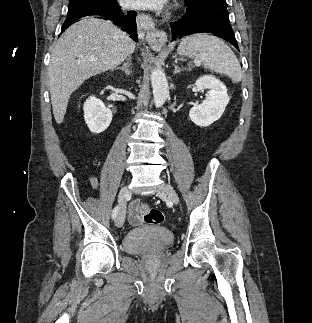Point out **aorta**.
<instances>
[{
	"label": "aorta",
	"instance_id": "762f6f07",
	"mask_svg": "<svg viewBox=\"0 0 312 323\" xmlns=\"http://www.w3.org/2000/svg\"><path fill=\"white\" fill-rule=\"evenodd\" d=\"M151 84L156 108H161L169 98V86L164 72L153 70L151 72Z\"/></svg>",
	"mask_w": 312,
	"mask_h": 323
}]
</instances>
